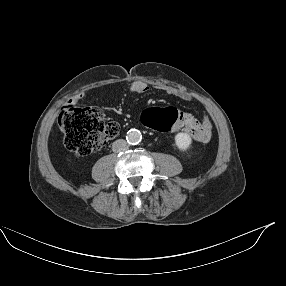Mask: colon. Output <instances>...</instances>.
I'll list each match as a JSON object with an SVG mask.
<instances>
[{"label": "colon", "mask_w": 286, "mask_h": 286, "mask_svg": "<svg viewBox=\"0 0 286 286\" xmlns=\"http://www.w3.org/2000/svg\"><path fill=\"white\" fill-rule=\"evenodd\" d=\"M177 119L178 112L175 109L150 108L140 119V124L166 131ZM57 121L64 134V147L79 156L95 153L120 132L119 124L105 121L101 111L95 107L67 105L60 111Z\"/></svg>", "instance_id": "obj_1"}]
</instances>
